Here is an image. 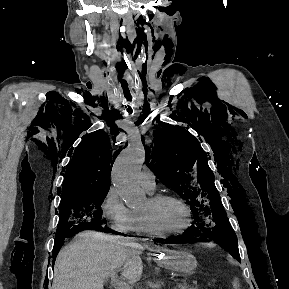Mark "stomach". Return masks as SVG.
Instances as JSON below:
<instances>
[{"mask_svg":"<svg viewBox=\"0 0 289 289\" xmlns=\"http://www.w3.org/2000/svg\"><path fill=\"white\" fill-rule=\"evenodd\" d=\"M172 271L182 275H191L197 267L195 256L185 250L166 252L163 261Z\"/></svg>","mask_w":289,"mask_h":289,"instance_id":"1","label":"stomach"}]
</instances>
